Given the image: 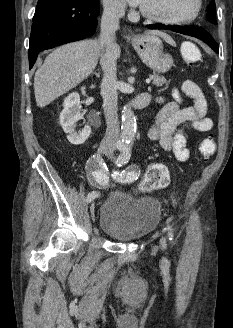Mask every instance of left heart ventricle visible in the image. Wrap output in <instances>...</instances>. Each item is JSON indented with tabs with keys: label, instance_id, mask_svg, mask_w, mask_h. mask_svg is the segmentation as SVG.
<instances>
[{
	"label": "left heart ventricle",
	"instance_id": "left-heart-ventricle-1",
	"mask_svg": "<svg viewBox=\"0 0 233 328\" xmlns=\"http://www.w3.org/2000/svg\"><path fill=\"white\" fill-rule=\"evenodd\" d=\"M141 7L147 12L170 19L190 16L194 10V0H144Z\"/></svg>",
	"mask_w": 233,
	"mask_h": 328
}]
</instances>
